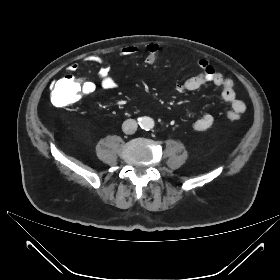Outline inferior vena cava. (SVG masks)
Here are the masks:
<instances>
[{
	"instance_id": "1",
	"label": "inferior vena cava",
	"mask_w": 280,
	"mask_h": 280,
	"mask_svg": "<svg viewBox=\"0 0 280 280\" xmlns=\"http://www.w3.org/2000/svg\"><path fill=\"white\" fill-rule=\"evenodd\" d=\"M137 122L134 119H127L122 124V130L125 134H134L137 130Z\"/></svg>"
}]
</instances>
